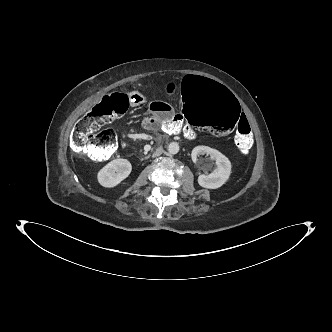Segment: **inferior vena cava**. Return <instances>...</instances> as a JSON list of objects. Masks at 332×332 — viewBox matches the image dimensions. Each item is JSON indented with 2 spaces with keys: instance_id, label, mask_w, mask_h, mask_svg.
Listing matches in <instances>:
<instances>
[{
  "instance_id": "1",
  "label": "inferior vena cava",
  "mask_w": 332,
  "mask_h": 332,
  "mask_svg": "<svg viewBox=\"0 0 332 332\" xmlns=\"http://www.w3.org/2000/svg\"><path fill=\"white\" fill-rule=\"evenodd\" d=\"M163 148L159 147L158 149H156V151L153 153V157H157L160 156L163 153Z\"/></svg>"
}]
</instances>
